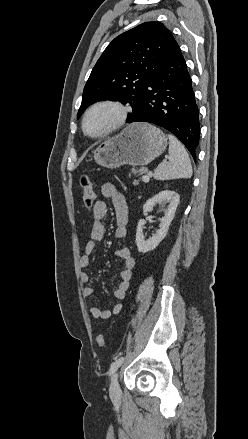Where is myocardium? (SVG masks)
Returning a JSON list of instances; mask_svg holds the SVG:
<instances>
[{"instance_id": "f54148a6", "label": "myocardium", "mask_w": 248, "mask_h": 439, "mask_svg": "<svg viewBox=\"0 0 248 439\" xmlns=\"http://www.w3.org/2000/svg\"><path fill=\"white\" fill-rule=\"evenodd\" d=\"M100 107H111V108L115 109V111L117 112L116 120L114 121V123L112 125H110L108 128H106L102 132H100L98 134H90L86 129L87 118L94 110H96L97 108H100ZM128 115H129V109L122 102L117 101V100H113V99L99 100V101L93 103L92 105H90L86 109V111L84 112L83 117H82V131L86 136H88L90 138L97 139V138L105 137V136L109 135L110 133L123 127L125 125V123L127 122Z\"/></svg>"}]
</instances>
